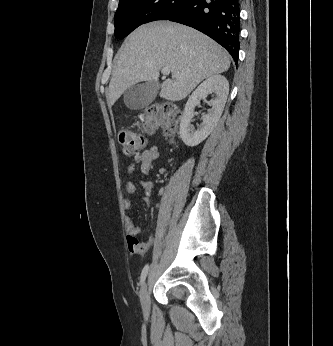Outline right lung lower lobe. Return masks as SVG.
<instances>
[{"label": "right lung lower lobe", "mask_w": 333, "mask_h": 346, "mask_svg": "<svg viewBox=\"0 0 333 346\" xmlns=\"http://www.w3.org/2000/svg\"><path fill=\"white\" fill-rule=\"evenodd\" d=\"M166 20L193 27L208 35L232 56L239 54V0H184Z\"/></svg>", "instance_id": "1"}]
</instances>
